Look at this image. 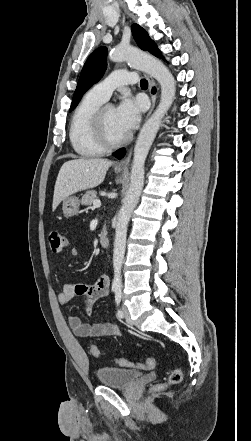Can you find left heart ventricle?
<instances>
[{
  "mask_svg": "<svg viewBox=\"0 0 251 441\" xmlns=\"http://www.w3.org/2000/svg\"><path fill=\"white\" fill-rule=\"evenodd\" d=\"M104 122L107 134L112 140H118L126 135L118 124L115 108L107 107L105 109Z\"/></svg>",
  "mask_w": 251,
  "mask_h": 441,
  "instance_id": "obj_1",
  "label": "left heart ventricle"
}]
</instances>
